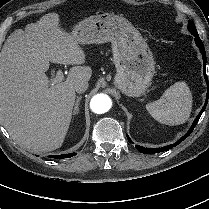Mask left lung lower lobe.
I'll use <instances>...</instances> for the list:
<instances>
[{"instance_id": "0a47b994", "label": "left lung lower lobe", "mask_w": 209, "mask_h": 209, "mask_svg": "<svg viewBox=\"0 0 209 209\" xmlns=\"http://www.w3.org/2000/svg\"><path fill=\"white\" fill-rule=\"evenodd\" d=\"M193 36L195 37V43H196L197 47L200 49V52L202 54L204 78H205V80L207 82V85H208V90H207L205 104H204L202 110L200 111V113L197 115L196 119L194 120V122H193L191 128L189 129V131L183 137H181V139H179L176 143L168 145V146H165V147H160V148H145V147L136 145V149L138 151H140L141 153H144V154L159 153V152L167 151V150L177 146L178 144H180L185 138H187L191 134V132L193 131V129L196 126V124L198 123L202 113L204 112V110H205V108L207 106L208 98H209V83H208L207 75H206V72H205L206 52H205L204 45H203V43H202L198 33H194ZM127 139L131 143V139H130V137L128 135H127Z\"/></svg>"}]
</instances>
